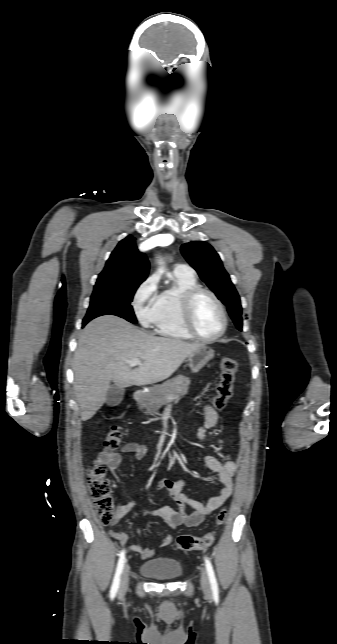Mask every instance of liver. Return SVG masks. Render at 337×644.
<instances>
[{
	"label": "liver",
	"mask_w": 337,
	"mask_h": 644,
	"mask_svg": "<svg viewBox=\"0 0 337 644\" xmlns=\"http://www.w3.org/2000/svg\"><path fill=\"white\" fill-rule=\"evenodd\" d=\"M201 346L154 336L112 315L92 320L81 331L73 358L81 420H89L103 406L111 382L125 388L163 381ZM134 358L142 363L131 370L126 361Z\"/></svg>",
	"instance_id": "1"
}]
</instances>
